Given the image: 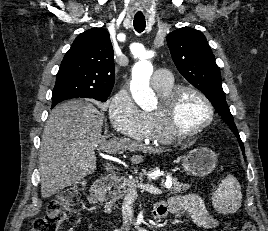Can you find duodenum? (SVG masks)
Here are the masks:
<instances>
[{
    "mask_svg": "<svg viewBox=\"0 0 268 231\" xmlns=\"http://www.w3.org/2000/svg\"><path fill=\"white\" fill-rule=\"evenodd\" d=\"M118 182L119 176L115 172H111L100 178L92 187L91 202L101 198L106 189L115 186Z\"/></svg>",
    "mask_w": 268,
    "mask_h": 231,
    "instance_id": "duodenum-1",
    "label": "duodenum"
}]
</instances>
